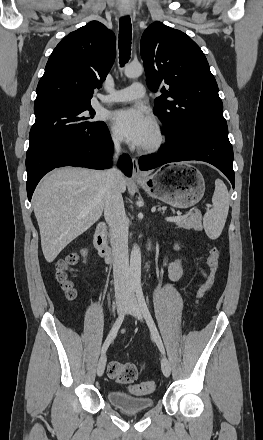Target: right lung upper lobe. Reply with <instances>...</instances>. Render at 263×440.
I'll use <instances>...</instances> for the list:
<instances>
[{"label":"right lung upper lobe","mask_w":263,"mask_h":440,"mask_svg":"<svg viewBox=\"0 0 263 440\" xmlns=\"http://www.w3.org/2000/svg\"><path fill=\"white\" fill-rule=\"evenodd\" d=\"M115 35L98 21H91L67 35L53 50L37 86L34 108L58 103L90 104L115 56Z\"/></svg>","instance_id":"obj_1"}]
</instances>
